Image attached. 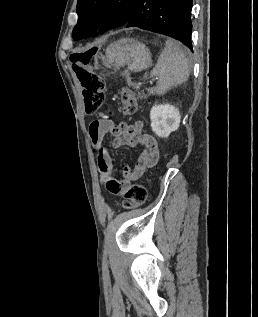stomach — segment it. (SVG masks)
I'll return each instance as SVG.
<instances>
[{
	"label": "stomach",
	"mask_w": 258,
	"mask_h": 317,
	"mask_svg": "<svg viewBox=\"0 0 258 317\" xmlns=\"http://www.w3.org/2000/svg\"><path fill=\"white\" fill-rule=\"evenodd\" d=\"M152 62L151 52L139 40H132V38H121L117 42H111L105 50V58H102L104 66H129L133 72L144 70L150 66Z\"/></svg>",
	"instance_id": "obj_1"
}]
</instances>
